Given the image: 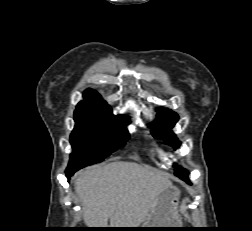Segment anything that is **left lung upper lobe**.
I'll list each match as a JSON object with an SVG mask.
<instances>
[{"label": "left lung upper lobe", "instance_id": "1", "mask_svg": "<svg viewBox=\"0 0 252 231\" xmlns=\"http://www.w3.org/2000/svg\"><path fill=\"white\" fill-rule=\"evenodd\" d=\"M178 115L168 109H160L157 113V119L149 124L152 128L151 132L157 139H164L165 143L180 146V141L176 138V135L171 131L173 126L177 123ZM177 176L186 175L188 172L180 166H175Z\"/></svg>", "mask_w": 252, "mask_h": 231}]
</instances>
